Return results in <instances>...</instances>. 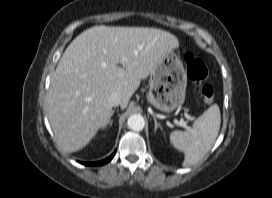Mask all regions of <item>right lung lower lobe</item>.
I'll list each match as a JSON object with an SVG mask.
<instances>
[{
  "mask_svg": "<svg viewBox=\"0 0 272 198\" xmlns=\"http://www.w3.org/2000/svg\"><path fill=\"white\" fill-rule=\"evenodd\" d=\"M115 152L109 156L108 158H106L105 160L99 161V162H92V163H86V162H81L84 165H89V166H99V165H103L107 162H109L113 157H114Z\"/></svg>",
  "mask_w": 272,
  "mask_h": 198,
  "instance_id": "1",
  "label": "right lung lower lobe"
}]
</instances>
